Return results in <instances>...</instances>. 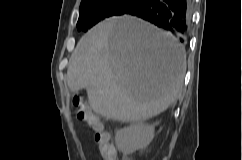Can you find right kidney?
I'll use <instances>...</instances> for the list:
<instances>
[{"label": "right kidney", "mask_w": 242, "mask_h": 160, "mask_svg": "<svg viewBox=\"0 0 242 160\" xmlns=\"http://www.w3.org/2000/svg\"><path fill=\"white\" fill-rule=\"evenodd\" d=\"M154 138V126L138 123L116 132L115 143L124 154H132L143 149Z\"/></svg>", "instance_id": "ca27d5eb"}]
</instances>
